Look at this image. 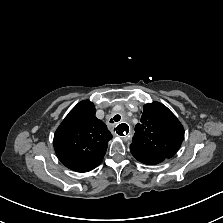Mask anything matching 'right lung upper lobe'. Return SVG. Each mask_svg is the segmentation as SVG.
Listing matches in <instances>:
<instances>
[{"label": "right lung upper lobe", "instance_id": "obj_1", "mask_svg": "<svg viewBox=\"0 0 223 223\" xmlns=\"http://www.w3.org/2000/svg\"><path fill=\"white\" fill-rule=\"evenodd\" d=\"M95 113L92 102L78 103L54 134L53 144L59 160L73 171L88 172L97 167L112 139L107 126Z\"/></svg>", "mask_w": 223, "mask_h": 223}]
</instances>
